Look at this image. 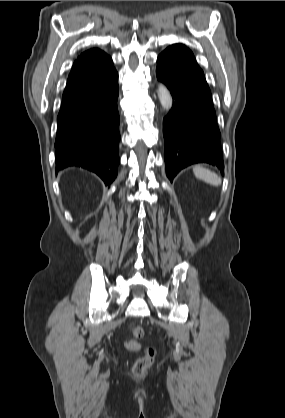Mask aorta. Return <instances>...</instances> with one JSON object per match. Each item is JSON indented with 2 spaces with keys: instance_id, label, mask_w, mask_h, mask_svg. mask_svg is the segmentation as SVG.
Wrapping results in <instances>:
<instances>
[{
  "instance_id": "762f6f07",
  "label": "aorta",
  "mask_w": 285,
  "mask_h": 418,
  "mask_svg": "<svg viewBox=\"0 0 285 418\" xmlns=\"http://www.w3.org/2000/svg\"><path fill=\"white\" fill-rule=\"evenodd\" d=\"M157 93H158V98L163 109H165L166 111H169L172 108V104H173L170 91L167 89V87L164 84H159Z\"/></svg>"
}]
</instances>
